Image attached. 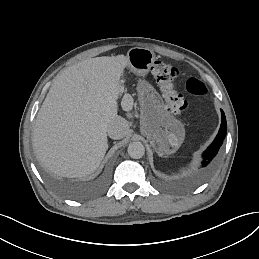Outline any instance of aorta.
<instances>
[{
	"mask_svg": "<svg viewBox=\"0 0 259 259\" xmlns=\"http://www.w3.org/2000/svg\"><path fill=\"white\" fill-rule=\"evenodd\" d=\"M145 153L144 145L141 142H132L128 146V154L133 159H140Z\"/></svg>",
	"mask_w": 259,
	"mask_h": 259,
	"instance_id": "762f6f07",
	"label": "aorta"
}]
</instances>
